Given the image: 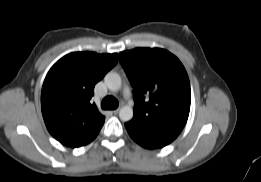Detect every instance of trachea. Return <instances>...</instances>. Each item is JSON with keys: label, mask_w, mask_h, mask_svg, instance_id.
Wrapping results in <instances>:
<instances>
[{"label": "trachea", "mask_w": 261, "mask_h": 182, "mask_svg": "<svg viewBox=\"0 0 261 182\" xmlns=\"http://www.w3.org/2000/svg\"><path fill=\"white\" fill-rule=\"evenodd\" d=\"M119 103L116 98L112 96L105 97L101 102V107L105 110H112L118 107Z\"/></svg>", "instance_id": "trachea-1"}]
</instances>
